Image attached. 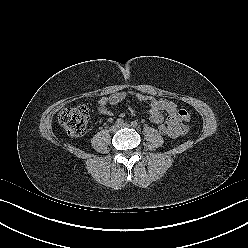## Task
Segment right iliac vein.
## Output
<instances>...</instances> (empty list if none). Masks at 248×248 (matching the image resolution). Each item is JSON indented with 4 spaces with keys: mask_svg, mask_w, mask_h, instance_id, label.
Listing matches in <instances>:
<instances>
[{
    "mask_svg": "<svg viewBox=\"0 0 248 248\" xmlns=\"http://www.w3.org/2000/svg\"><path fill=\"white\" fill-rule=\"evenodd\" d=\"M119 129V125L118 124H114L110 127V131L111 132H116Z\"/></svg>",
    "mask_w": 248,
    "mask_h": 248,
    "instance_id": "obj_1",
    "label": "right iliac vein"
}]
</instances>
